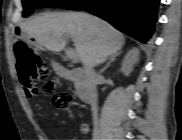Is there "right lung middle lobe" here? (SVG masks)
I'll return each mask as SVG.
<instances>
[{
  "instance_id": "obj_1",
  "label": "right lung middle lobe",
  "mask_w": 182,
  "mask_h": 140,
  "mask_svg": "<svg viewBox=\"0 0 182 140\" xmlns=\"http://www.w3.org/2000/svg\"><path fill=\"white\" fill-rule=\"evenodd\" d=\"M97 0H22L23 16H29L35 8L53 7L69 10H82Z\"/></svg>"
}]
</instances>
